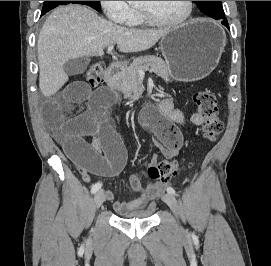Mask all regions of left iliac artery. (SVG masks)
Wrapping results in <instances>:
<instances>
[{
	"label": "left iliac artery",
	"instance_id": "1",
	"mask_svg": "<svg viewBox=\"0 0 271 266\" xmlns=\"http://www.w3.org/2000/svg\"><path fill=\"white\" fill-rule=\"evenodd\" d=\"M167 192H168L169 194H171V195H176V192H175L174 188H172V187H168V188H167Z\"/></svg>",
	"mask_w": 271,
	"mask_h": 266
}]
</instances>
